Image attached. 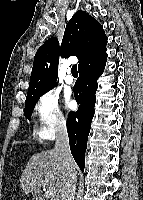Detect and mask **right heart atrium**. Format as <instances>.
Here are the masks:
<instances>
[{"label": "right heart atrium", "mask_w": 143, "mask_h": 200, "mask_svg": "<svg viewBox=\"0 0 143 200\" xmlns=\"http://www.w3.org/2000/svg\"><path fill=\"white\" fill-rule=\"evenodd\" d=\"M38 119V137L49 140L66 127V119L59 106V97L53 90L40 95L35 104Z\"/></svg>", "instance_id": "right-heart-atrium-1"}]
</instances>
